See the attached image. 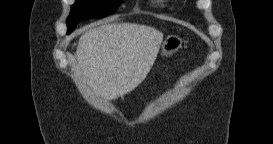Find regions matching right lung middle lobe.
I'll return each mask as SVG.
<instances>
[{
    "label": "right lung middle lobe",
    "instance_id": "dd1d6c3e",
    "mask_svg": "<svg viewBox=\"0 0 273 144\" xmlns=\"http://www.w3.org/2000/svg\"><path fill=\"white\" fill-rule=\"evenodd\" d=\"M122 0H76L67 18L69 34L84 19L103 18L117 10Z\"/></svg>",
    "mask_w": 273,
    "mask_h": 144
}]
</instances>
